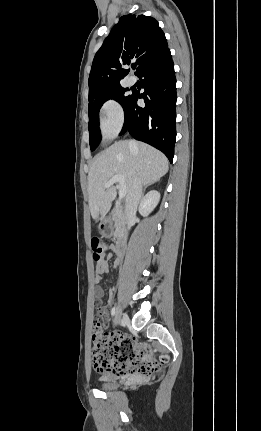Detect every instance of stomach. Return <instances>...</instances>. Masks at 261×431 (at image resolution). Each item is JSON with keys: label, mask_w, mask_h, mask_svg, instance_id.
<instances>
[{"label": "stomach", "mask_w": 261, "mask_h": 431, "mask_svg": "<svg viewBox=\"0 0 261 431\" xmlns=\"http://www.w3.org/2000/svg\"><path fill=\"white\" fill-rule=\"evenodd\" d=\"M98 230H99L101 235H103L105 237H111L113 235V232H114V227H113L112 221L110 219L103 220L99 224Z\"/></svg>", "instance_id": "0dacf381"}]
</instances>
